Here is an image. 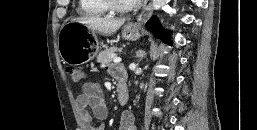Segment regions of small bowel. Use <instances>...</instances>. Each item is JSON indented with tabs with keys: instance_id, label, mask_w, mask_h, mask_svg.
<instances>
[{
	"instance_id": "1",
	"label": "small bowel",
	"mask_w": 257,
	"mask_h": 130,
	"mask_svg": "<svg viewBox=\"0 0 257 130\" xmlns=\"http://www.w3.org/2000/svg\"><path fill=\"white\" fill-rule=\"evenodd\" d=\"M111 72L118 79L124 80L125 75L121 69L112 68ZM76 103L82 130H104L103 123L108 116V109L97 83H85L82 86V93L76 98ZM119 130H135L134 117L131 113L126 112L122 115Z\"/></svg>"
}]
</instances>
